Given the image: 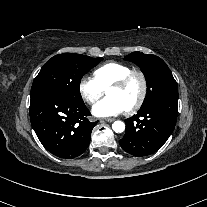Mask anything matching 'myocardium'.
Masks as SVG:
<instances>
[{"label": "myocardium", "mask_w": 207, "mask_h": 207, "mask_svg": "<svg viewBox=\"0 0 207 207\" xmlns=\"http://www.w3.org/2000/svg\"><path fill=\"white\" fill-rule=\"evenodd\" d=\"M135 78H138L141 82V93L137 101L131 107L125 110L126 114L128 115L138 111L146 99L148 93V81L146 76L141 71L132 70L128 74L123 76L121 79L115 81L109 86V89L110 88L123 89Z\"/></svg>", "instance_id": "f54148a6"}]
</instances>
